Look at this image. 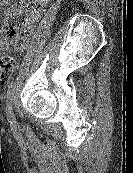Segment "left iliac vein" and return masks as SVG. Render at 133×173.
<instances>
[{
	"mask_svg": "<svg viewBox=\"0 0 133 173\" xmlns=\"http://www.w3.org/2000/svg\"><path fill=\"white\" fill-rule=\"evenodd\" d=\"M8 119L10 123H15V115L13 112V108H11V110L8 111Z\"/></svg>",
	"mask_w": 133,
	"mask_h": 173,
	"instance_id": "1",
	"label": "left iliac vein"
}]
</instances>
